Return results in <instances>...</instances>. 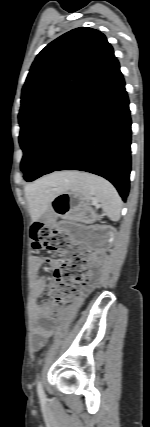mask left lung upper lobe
<instances>
[{
	"mask_svg": "<svg viewBox=\"0 0 150 427\" xmlns=\"http://www.w3.org/2000/svg\"><path fill=\"white\" fill-rule=\"evenodd\" d=\"M114 58L104 34L88 27L63 34L37 55L22 89L18 115L23 172L42 131Z\"/></svg>",
	"mask_w": 150,
	"mask_h": 427,
	"instance_id": "5c2ea615",
	"label": "left lung upper lobe"
}]
</instances>
